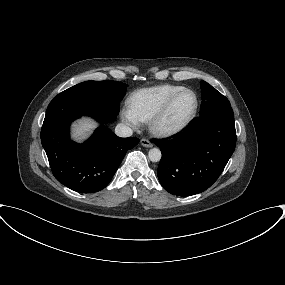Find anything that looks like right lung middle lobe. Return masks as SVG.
<instances>
[{"instance_id": "obj_1", "label": "right lung middle lobe", "mask_w": 285, "mask_h": 285, "mask_svg": "<svg viewBox=\"0 0 285 285\" xmlns=\"http://www.w3.org/2000/svg\"><path fill=\"white\" fill-rule=\"evenodd\" d=\"M126 88L127 85L121 82L86 81L61 92L57 96L73 98L102 111L117 115Z\"/></svg>"}]
</instances>
